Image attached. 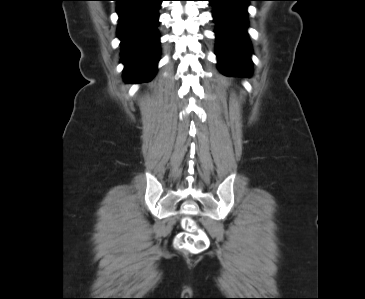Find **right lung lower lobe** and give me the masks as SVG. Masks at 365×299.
Listing matches in <instances>:
<instances>
[{
	"instance_id": "98d812e1",
	"label": "right lung lower lobe",
	"mask_w": 365,
	"mask_h": 299,
	"mask_svg": "<svg viewBox=\"0 0 365 299\" xmlns=\"http://www.w3.org/2000/svg\"><path fill=\"white\" fill-rule=\"evenodd\" d=\"M119 23L117 36L121 40V60L125 66L126 83L149 81L156 72L160 54L157 30L163 0H115Z\"/></svg>"
}]
</instances>
